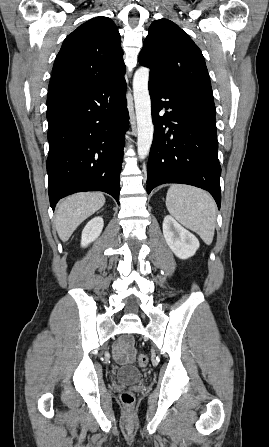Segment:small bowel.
Here are the masks:
<instances>
[{"label":"small bowel","mask_w":269,"mask_h":447,"mask_svg":"<svg viewBox=\"0 0 269 447\" xmlns=\"http://www.w3.org/2000/svg\"><path fill=\"white\" fill-rule=\"evenodd\" d=\"M125 339L130 340L135 338V333L127 331L124 334ZM113 356L120 364L127 363L134 355L130 353V348L126 347L124 342L120 340L113 348Z\"/></svg>","instance_id":"c3829d8e"}]
</instances>
